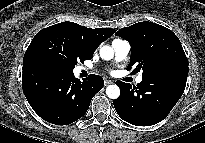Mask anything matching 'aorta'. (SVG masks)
<instances>
[{"instance_id":"762f6f07","label":"aorta","mask_w":205,"mask_h":143,"mask_svg":"<svg viewBox=\"0 0 205 143\" xmlns=\"http://www.w3.org/2000/svg\"><path fill=\"white\" fill-rule=\"evenodd\" d=\"M100 56L104 60L112 59L114 57L113 48L108 45L101 47ZM106 94L110 99H117L120 95V89L117 85H109L106 88Z\"/></svg>"}]
</instances>
